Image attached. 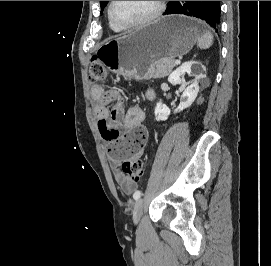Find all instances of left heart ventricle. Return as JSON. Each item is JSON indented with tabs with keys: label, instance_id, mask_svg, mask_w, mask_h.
Wrapping results in <instances>:
<instances>
[{
	"label": "left heart ventricle",
	"instance_id": "obj_1",
	"mask_svg": "<svg viewBox=\"0 0 271 266\" xmlns=\"http://www.w3.org/2000/svg\"><path fill=\"white\" fill-rule=\"evenodd\" d=\"M155 8V1H115L113 15L124 24H132L149 16Z\"/></svg>",
	"mask_w": 271,
	"mask_h": 266
}]
</instances>
